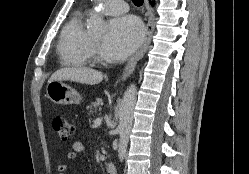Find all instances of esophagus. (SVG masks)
Masks as SVG:
<instances>
[{"mask_svg": "<svg viewBox=\"0 0 249 174\" xmlns=\"http://www.w3.org/2000/svg\"><path fill=\"white\" fill-rule=\"evenodd\" d=\"M144 7L146 10V34L140 49L128 60L126 67L121 75V79L125 80L129 77L133 71L135 70L137 62L144 56L146 53L154 31V23H153V13L148 5V1L144 0Z\"/></svg>", "mask_w": 249, "mask_h": 174, "instance_id": "1", "label": "esophagus"}]
</instances>
